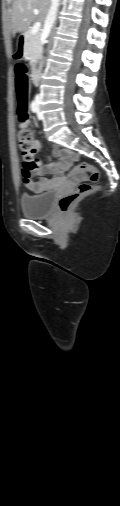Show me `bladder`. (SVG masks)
<instances>
[{
	"instance_id": "obj_1",
	"label": "bladder",
	"mask_w": 120,
	"mask_h": 506,
	"mask_svg": "<svg viewBox=\"0 0 120 506\" xmlns=\"http://www.w3.org/2000/svg\"><path fill=\"white\" fill-rule=\"evenodd\" d=\"M56 196L55 190L40 194H22L20 196L21 210L24 216L38 219L48 216Z\"/></svg>"
}]
</instances>
